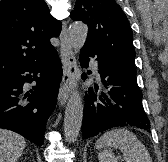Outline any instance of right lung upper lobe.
<instances>
[{
  "mask_svg": "<svg viewBox=\"0 0 168 162\" xmlns=\"http://www.w3.org/2000/svg\"><path fill=\"white\" fill-rule=\"evenodd\" d=\"M61 29L44 0H0V77L47 59Z\"/></svg>",
  "mask_w": 168,
  "mask_h": 162,
  "instance_id": "cb5924a9",
  "label": "right lung upper lobe"
}]
</instances>
